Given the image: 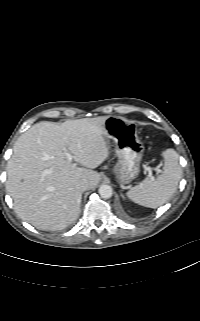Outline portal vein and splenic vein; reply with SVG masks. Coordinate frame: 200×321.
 Returning a JSON list of instances; mask_svg holds the SVG:
<instances>
[{
    "instance_id": "portal-vein-and-splenic-vein-1",
    "label": "portal vein and splenic vein",
    "mask_w": 200,
    "mask_h": 321,
    "mask_svg": "<svg viewBox=\"0 0 200 321\" xmlns=\"http://www.w3.org/2000/svg\"><path fill=\"white\" fill-rule=\"evenodd\" d=\"M65 155H66V158H67V161L70 163V162H72V160H73V155L72 154H70L68 151H65ZM145 169L149 172V175L151 176V174H152V168L151 167H147V166H145ZM50 173V170H45L44 171V174H49ZM153 178V177H152Z\"/></svg>"
}]
</instances>
